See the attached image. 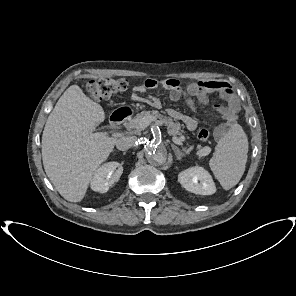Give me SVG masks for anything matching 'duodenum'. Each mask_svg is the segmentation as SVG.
<instances>
[{
	"instance_id": "duodenum-1",
	"label": "duodenum",
	"mask_w": 296,
	"mask_h": 296,
	"mask_svg": "<svg viewBox=\"0 0 296 296\" xmlns=\"http://www.w3.org/2000/svg\"><path fill=\"white\" fill-rule=\"evenodd\" d=\"M132 111L128 108L120 109L114 112L110 117V124L113 127L120 125L123 121H125L128 117H130Z\"/></svg>"
}]
</instances>
